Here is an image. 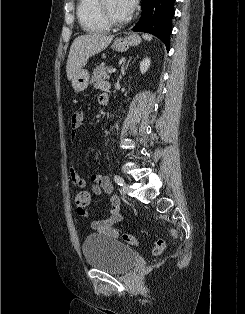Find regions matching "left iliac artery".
Segmentation results:
<instances>
[{
	"instance_id": "1",
	"label": "left iliac artery",
	"mask_w": 245,
	"mask_h": 314,
	"mask_svg": "<svg viewBox=\"0 0 245 314\" xmlns=\"http://www.w3.org/2000/svg\"><path fill=\"white\" fill-rule=\"evenodd\" d=\"M114 181L120 186L124 185V179L119 175H114Z\"/></svg>"
}]
</instances>
